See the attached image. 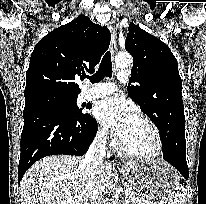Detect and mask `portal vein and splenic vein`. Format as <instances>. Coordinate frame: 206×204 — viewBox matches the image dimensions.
Wrapping results in <instances>:
<instances>
[{
	"label": "portal vein and splenic vein",
	"mask_w": 206,
	"mask_h": 204,
	"mask_svg": "<svg viewBox=\"0 0 206 204\" xmlns=\"http://www.w3.org/2000/svg\"><path fill=\"white\" fill-rule=\"evenodd\" d=\"M129 193H130V190H129V189H126V190H125V195L127 196Z\"/></svg>",
	"instance_id": "portal-vein-and-splenic-vein-1"
}]
</instances>
